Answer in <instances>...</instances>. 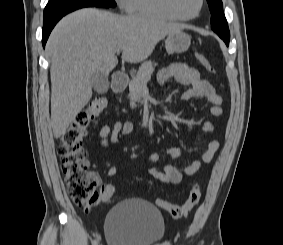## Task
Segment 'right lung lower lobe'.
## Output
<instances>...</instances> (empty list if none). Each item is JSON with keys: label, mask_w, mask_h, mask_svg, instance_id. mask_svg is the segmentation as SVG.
I'll list each match as a JSON object with an SVG mask.
<instances>
[{"label": "right lung lower lobe", "mask_w": 283, "mask_h": 245, "mask_svg": "<svg viewBox=\"0 0 283 245\" xmlns=\"http://www.w3.org/2000/svg\"><path fill=\"white\" fill-rule=\"evenodd\" d=\"M97 7H105V6H97ZM70 12H72V11H70ZM70 12L59 14V15L53 16V17L48 18V19H44V22H43L44 23V25H43V35H42V44H43V46H45L46 41H47V39H48V37L50 35V32L53 29V27L56 25V23L63 16H65L66 14H68Z\"/></svg>", "instance_id": "1"}]
</instances>
